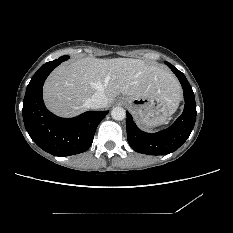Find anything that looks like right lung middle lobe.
<instances>
[{
    "mask_svg": "<svg viewBox=\"0 0 233 233\" xmlns=\"http://www.w3.org/2000/svg\"><path fill=\"white\" fill-rule=\"evenodd\" d=\"M68 58H69V56H62L57 60L50 61V62H47V63H54V62H60L61 63V62L65 61V60H67Z\"/></svg>",
    "mask_w": 233,
    "mask_h": 233,
    "instance_id": "1",
    "label": "right lung middle lobe"
}]
</instances>
